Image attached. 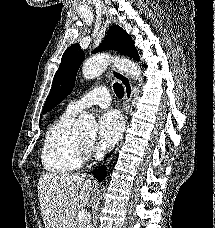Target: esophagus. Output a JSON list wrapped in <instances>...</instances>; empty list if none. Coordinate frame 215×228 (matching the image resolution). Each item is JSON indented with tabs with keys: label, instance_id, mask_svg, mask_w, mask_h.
I'll list each match as a JSON object with an SVG mask.
<instances>
[{
	"label": "esophagus",
	"instance_id": "esophagus-1",
	"mask_svg": "<svg viewBox=\"0 0 215 228\" xmlns=\"http://www.w3.org/2000/svg\"><path fill=\"white\" fill-rule=\"evenodd\" d=\"M112 75L123 86L125 101L126 104L129 105L133 97V87L130 78L124 72L116 69L115 67L112 68Z\"/></svg>",
	"mask_w": 215,
	"mask_h": 228
}]
</instances>
